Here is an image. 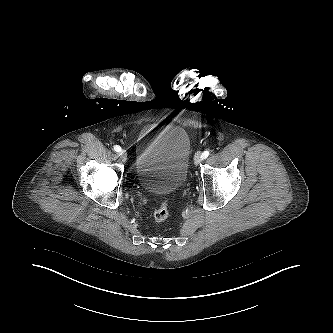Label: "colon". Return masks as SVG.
<instances>
[{
    "label": "colon",
    "instance_id": "colon-1",
    "mask_svg": "<svg viewBox=\"0 0 333 333\" xmlns=\"http://www.w3.org/2000/svg\"><path fill=\"white\" fill-rule=\"evenodd\" d=\"M169 215V210H168V200L164 199L160 206L154 211L153 214V219L157 223H161L167 219Z\"/></svg>",
    "mask_w": 333,
    "mask_h": 333
}]
</instances>
